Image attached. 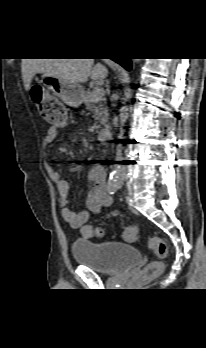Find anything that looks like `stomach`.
<instances>
[{
	"instance_id": "stomach-1",
	"label": "stomach",
	"mask_w": 206,
	"mask_h": 348,
	"mask_svg": "<svg viewBox=\"0 0 206 348\" xmlns=\"http://www.w3.org/2000/svg\"><path fill=\"white\" fill-rule=\"evenodd\" d=\"M39 83L43 89L46 87L52 91L53 95L71 107L80 106L84 100V89L80 84L47 73L42 74Z\"/></svg>"
}]
</instances>
